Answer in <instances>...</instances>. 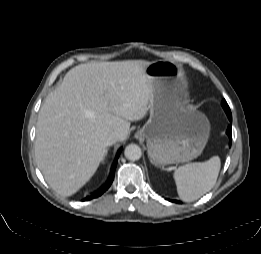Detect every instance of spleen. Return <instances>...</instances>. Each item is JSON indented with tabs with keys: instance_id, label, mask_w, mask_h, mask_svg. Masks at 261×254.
I'll list each match as a JSON object with an SVG mask.
<instances>
[{
	"instance_id": "1",
	"label": "spleen",
	"mask_w": 261,
	"mask_h": 254,
	"mask_svg": "<svg viewBox=\"0 0 261 254\" xmlns=\"http://www.w3.org/2000/svg\"><path fill=\"white\" fill-rule=\"evenodd\" d=\"M221 161L213 156L205 162L189 163L174 171L177 192L181 200L192 202L209 192L215 185Z\"/></svg>"
}]
</instances>
